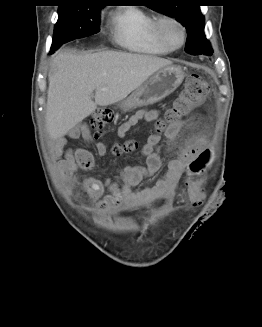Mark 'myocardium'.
Masks as SVG:
<instances>
[{
  "label": "myocardium",
  "instance_id": "myocardium-1",
  "mask_svg": "<svg viewBox=\"0 0 262 327\" xmlns=\"http://www.w3.org/2000/svg\"><path fill=\"white\" fill-rule=\"evenodd\" d=\"M167 24H173L180 30L181 38L178 44L171 43L167 38L165 34V26ZM154 27L159 40L169 49L177 50L184 46L187 39V30L185 25L179 19L169 15H161L156 18Z\"/></svg>",
  "mask_w": 262,
  "mask_h": 327
}]
</instances>
